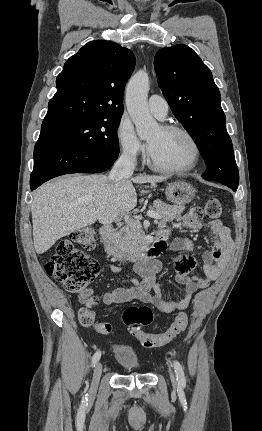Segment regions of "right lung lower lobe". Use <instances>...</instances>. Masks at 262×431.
I'll list each match as a JSON object with an SVG mask.
<instances>
[{
	"instance_id": "98d812e1",
	"label": "right lung lower lobe",
	"mask_w": 262,
	"mask_h": 431,
	"mask_svg": "<svg viewBox=\"0 0 262 431\" xmlns=\"http://www.w3.org/2000/svg\"><path fill=\"white\" fill-rule=\"evenodd\" d=\"M117 158L68 141L39 138L34 148L30 187L35 190L63 174L104 172Z\"/></svg>"
}]
</instances>
